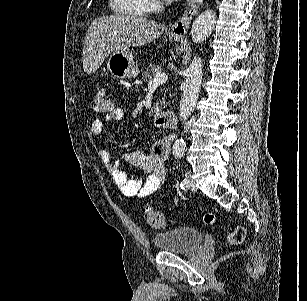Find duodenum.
Returning a JSON list of instances; mask_svg holds the SVG:
<instances>
[{"label": "duodenum", "mask_w": 307, "mask_h": 301, "mask_svg": "<svg viewBox=\"0 0 307 301\" xmlns=\"http://www.w3.org/2000/svg\"><path fill=\"white\" fill-rule=\"evenodd\" d=\"M155 122L158 127L173 129L177 125V118L174 112L168 110L160 113Z\"/></svg>", "instance_id": "duodenum-1"}]
</instances>
